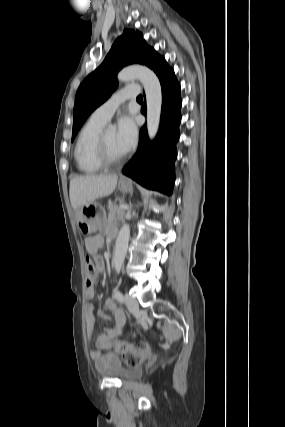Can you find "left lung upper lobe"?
Masks as SVG:
<instances>
[{"label":"left lung upper lobe","instance_id":"obj_1","mask_svg":"<svg viewBox=\"0 0 285 427\" xmlns=\"http://www.w3.org/2000/svg\"><path fill=\"white\" fill-rule=\"evenodd\" d=\"M162 59L143 40L142 33L125 29L113 43L102 64L81 83L76 93L72 141L89 114L111 95L117 85V72L139 63L154 69Z\"/></svg>","mask_w":285,"mask_h":427}]
</instances>
